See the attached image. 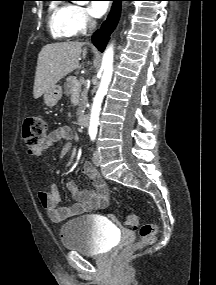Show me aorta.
<instances>
[{"label": "aorta", "mask_w": 216, "mask_h": 285, "mask_svg": "<svg viewBox=\"0 0 216 285\" xmlns=\"http://www.w3.org/2000/svg\"><path fill=\"white\" fill-rule=\"evenodd\" d=\"M78 3L83 4L85 2L78 1ZM113 60H114V47L111 44L106 48L102 59L103 75L96 96L94 97L91 109L90 125H89L90 135H96L97 133L101 104L105 94L107 93V89L113 73Z\"/></svg>", "instance_id": "aorta-1"}]
</instances>
